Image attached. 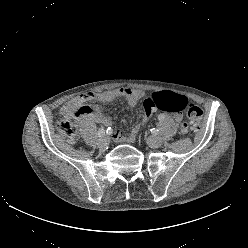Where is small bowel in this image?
Instances as JSON below:
<instances>
[{
    "label": "small bowel",
    "instance_id": "1",
    "mask_svg": "<svg viewBox=\"0 0 248 248\" xmlns=\"http://www.w3.org/2000/svg\"><path fill=\"white\" fill-rule=\"evenodd\" d=\"M144 95L145 92L143 90L129 87H121L114 90H108L99 93L87 92L76 96L66 102L61 107L60 113L66 118L89 117L98 123H101L105 126H109L111 120L107 115L103 114L97 107L86 106L84 104L91 101H99L102 103H106L111 102L117 98H124L129 105L136 106L139 101L144 97ZM81 107H86L87 112L80 116H75V112ZM173 118L176 121L180 122L182 121L183 117L181 113H175L173 115ZM137 129L138 127L134 129V132L130 137H125L121 131H117L114 136L115 140L118 142H133ZM189 129V124L187 122H180L178 124L177 130L179 134H186L189 132Z\"/></svg>",
    "mask_w": 248,
    "mask_h": 248
}]
</instances>
